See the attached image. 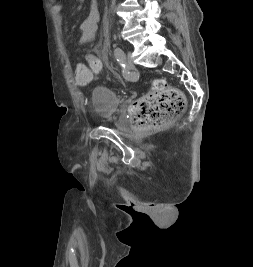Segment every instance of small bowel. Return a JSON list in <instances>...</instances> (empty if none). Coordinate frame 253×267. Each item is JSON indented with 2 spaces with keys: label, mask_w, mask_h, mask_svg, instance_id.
Here are the masks:
<instances>
[{
  "label": "small bowel",
  "mask_w": 253,
  "mask_h": 267,
  "mask_svg": "<svg viewBox=\"0 0 253 267\" xmlns=\"http://www.w3.org/2000/svg\"><path fill=\"white\" fill-rule=\"evenodd\" d=\"M51 9L60 29L62 30L63 29L62 6L58 3H54ZM98 21H99L98 2L97 0H92L89 14L82 21L80 25L81 36L78 41L79 45L88 43L94 38L95 32L97 30Z\"/></svg>",
  "instance_id": "c3829d8e"
}]
</instances>
